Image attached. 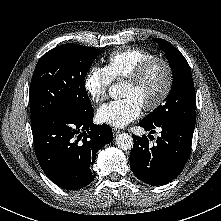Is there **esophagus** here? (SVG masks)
<instances>
[{"label":"esophagus","mask_w":221,"mask_h":221,"mask_svg":"<svg viewBox=\"0 0 221 221\" xmlns=\"http://www.w3.org/2000/svg\"><path fill=\"white\" fill-rule=\"evenodd\" d=\"M121 130L120 129H117V128H113V134L116 135L118 133H120Z\"/></svg>","instance_id":"34e87169"}]
</instances>
